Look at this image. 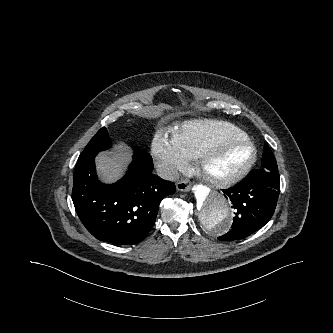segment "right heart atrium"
Returning <instances> with one entry per match:
<instances>
[{
	"label": "right heart atrium",
	"instance_id": "1",
	"mask_svg": "<svg viewBox=\"0 0 333 333\" xmlns=\"http://www.w3.org/2000/svg\"><path fill=\"white\" fill-rule=\"evenodd\" d=\"M151 152L158 172L165 179H174L189 164L188 158L174 140L161 132L155 134L151 143Z\"/></svg>",
	"mask_w": 333,
	"mask_h": 333
}]
</instances>
